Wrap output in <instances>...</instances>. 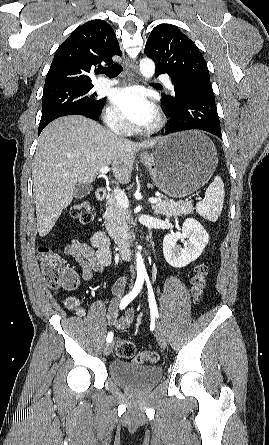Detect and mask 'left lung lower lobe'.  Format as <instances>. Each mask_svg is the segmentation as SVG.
I'll list each match as a JSON object with an SVG mask.
<instances>
[{
    "instance_id": "left-lung-lower-lobe-1",
    "label": "left lung lower lobe",
    "mask_w": 269,
    "mask_h": 445,
    "mask_svg": "<svg viewBox=\"0 0 269 445\" xmlns=\"http://www.w3.org/2000/svg\"><path fill=\"white\" fill-rule=\"evenodd\" d=\"M160 74L162 73L156 72V76ZM174 86L173 97L162 94L161 100L172 117L170 127L163 135L199 129L221 137L219 116L211 84L194 82Z\"/></svg>"
}]
</instances>
